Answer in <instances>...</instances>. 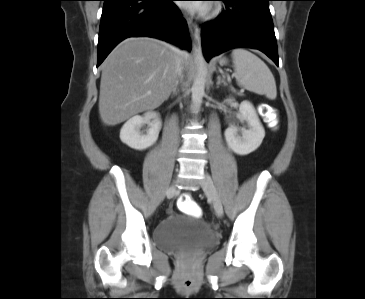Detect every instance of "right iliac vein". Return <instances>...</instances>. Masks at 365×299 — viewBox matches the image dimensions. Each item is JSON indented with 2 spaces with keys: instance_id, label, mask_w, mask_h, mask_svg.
<instances>
[{
  "instance_id": "right-iliac-vein-1",
  "label": "right iliac vein",
  "mask_w": 365,
  "mask_h": 299,
  "mask_svg": "<svg viewBox=\"0 0 365 299\" xmlns=\"http://www.w3.org/2000/svg\"><path fill=\"white\" fill-rule=\"evenodd\" d=\"M176 192V184L172 183L167 189V197L171 198Z\"/></svg>"
}]
</instances>
